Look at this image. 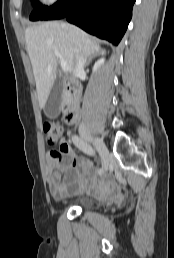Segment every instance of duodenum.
Listing matches in <instances>:
<instances>
[{"instance_id": "duodenum-1", "label": "duodenum", "mask_w": 174, "mask_h": 258, "mask_svg": "<svg viewBox=\"0 0 174 258\" xmlns=\"http://www.w3.org/2000/svg\"><path fill=\"white\" fill-rule=\"evenodd\" d=\"M67 108H66V121L69 124L76 122L78 117V95L77 89L71 85H67L65 90Z\"/></svg>"}]
</instances>
